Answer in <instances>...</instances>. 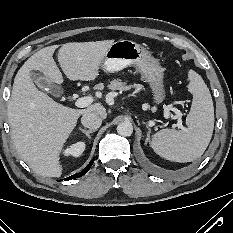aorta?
<instances>
[{
    "mask_svg": "<svg viewBox=\"0 0 233 233\" xmlns=\"http://www.w3.org/2000/svg\"><path fill=\"white\" fill-rule=\"evenodd\" d=\"M117 132L119 135L128 137L133 133V127L130 122H122L117 126Z\"/></svg>",
    "mask_w": 233,
    "mask_h": 233,
    "instance_id": "obj_1",
    "label": "aorta"
}]
</instances>
